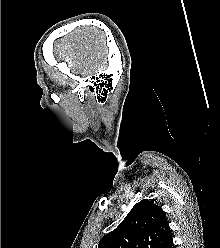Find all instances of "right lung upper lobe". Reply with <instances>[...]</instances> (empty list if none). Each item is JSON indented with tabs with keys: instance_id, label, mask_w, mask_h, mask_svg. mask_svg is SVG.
Masks as SVG:
<instances>
[{
	"instance_id": "cb5924a9",
	"label": "right lung upper lobe",
	"mask_w": 220,
	"mask_h": 248,
	"mask_svg": "<svg viewBox=\"0 0 220 248\" xmlns=\"http://www.w3.org/2000/svg\"><path fill=\"white\" fill-rule=\"evenodd\" d=\"M170 237L171 230L161 207L144 199L101 239L98 248H162Z\"/></svg>"
}]
</instances>
